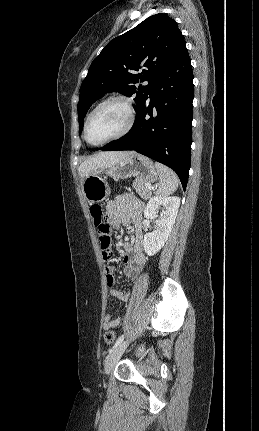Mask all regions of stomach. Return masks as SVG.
Here are the masks:
<instances>
[{
  "instance_id": "1",
  "label": "stomach",
  "mask_w": 259,
  "mask_h": 431,
  "mask_svg": "<svg viewBox=\"0 0 259 431\" xmlns=\"http://www.w3.org/2000/svg\"><path fill=\"white\" fill-rule=\"evenodd\" d=\"M132 176L152 183L157 180L158 171L151 159L134 152L118 163L85 177L82 183L84 196L91 203L101 202L110 195L107 177L120 180Z\"/></svg>"
}]
</instances>
